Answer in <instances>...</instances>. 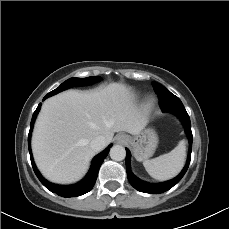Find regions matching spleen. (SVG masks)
I'll list each match as a JSON object with an SVG mask.
<instances>
[{"mask_svg":"<svg viewBox=\"0 0 229 229\" xmlns=\"http://www.w3.org/2000/svg\"><path fill=\"white\" fill-rule=\"evenodd\" d=\"M185 157V141H180L169 153L151 160H145L143 165L151 177L164 181L175 177L181 171L184 166Z\"/></svg>","mask_w":229,"mask_h":229,"instance_id":"obj_1","label":"spleen"}]
</instances>
